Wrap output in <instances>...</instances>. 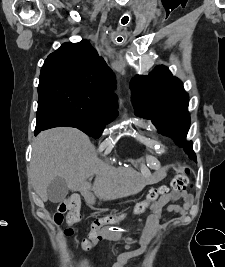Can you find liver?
Listing matches in <instances>:
<instances>
[{"label": "liver", "instance_id": "liver-1", "mask_svg": "<svg viewBox=\"0 0 225 267\" xmlns=\"http://www.w3.org/2000/svg\"><path fill=\"white\" fill-rule=\"evenodd\" d=\"M120 171L100 160L87 135L76 128L58 127L41 132L34 140L29 177L43 202L47 187L55 177L66 180L72 191H86L87 180L96 176L92 191L100 199H113L135 193L129 186L119 192L114 178Z\"/></svg>", "mask_w": 225, "mask_h": 267}]
</instances>
